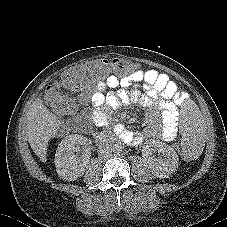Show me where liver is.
I'll list each match as a JSON object with an SVG mask.
<instances>
[{"instance_id": "liver-1", "label": "liver", "mask_w": 227, "mask_h": 227, "mask_svg": "<svg viewBox=\"0 0 227 227\" xmlns=\"http://www.w3.org/2000/svg\"><path fill=\"white\" fill-rule=\"evenodd\" d=\"M61 120L36 98L27 112L26 135L34 153L42 162L47 161L49 140L57 133Z\"/></svg>"}]
</instances>
